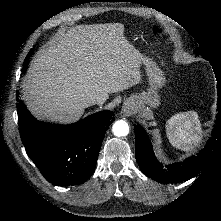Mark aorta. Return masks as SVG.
<instances>
[{
    "label": "aorta",
    "mask_w": 221,
    "mask_h": 221,
    "mask_svg": "<svg viewBox=\"0 0 221 221\" xmlns=\"http://www.w3.org/2000/svg\"><path fill=\"white\" fill-rule=\"evenodd\" d=\"M112 131L115 136L123 137V136L128 135L129 126L126 121L118 120L113 124Z\"/></svg>",
    "instance_id": "obj_1"
}]
</instances>
